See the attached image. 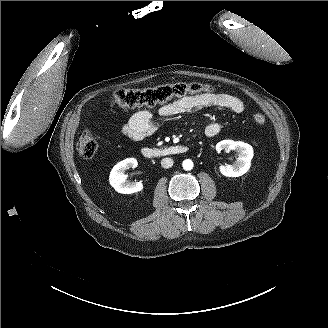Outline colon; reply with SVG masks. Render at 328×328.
<instances>
[{"label":"colon","instance_id":"1","mask_svg":"<svg viewBox=\"0 0 328 328\" xmlns=\"http://www.w3.org/2000/svg\"><path fill=\"white\" fill-rule=\"evenodd\" d=\"M212 86L199 82L174 83L159 85L144 89H119L111 97L114 104L124 107L153 106L163 103L173 97L211 93ZM253 120L258 125H264L266 118L260 113L253 115ZM78 153L84 158H92L97 150L98 144L91 131L85 130L77 143Z\"/></svg>","mask_w":328,"mask_h":328}]
</instances>
